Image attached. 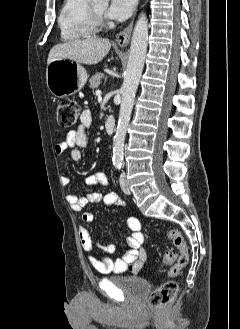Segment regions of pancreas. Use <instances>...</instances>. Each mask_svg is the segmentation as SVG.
<instances>
[{
  "label": "pancreas",
  "instance_id": "1",
  "mask_svg": "<svg viewBox=\"0 0 240 329\" xmlns=\"http://www.w3.org/2000/svg\"><path fill=\"white\" fill-rule=\"evenodd\" d=\"M104 77L103 73H95L90 79H89V87L90 88H97L102 78Z\"/></svg>",
  "mask_w": 240,
  "mask_h": 329
}]
</instances>
